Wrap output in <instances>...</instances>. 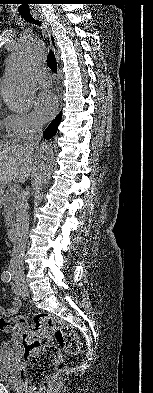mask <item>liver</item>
Masks as SVG:
<instances>
[{
    "instance_id": "1",
    "label": "liver",
    "mask_w": 153,
    "mask_h": 393,
    "mask_svg": "<svg viewBox=\"0 0 153 393\" xmlns=\"http://www.w3.org/2000/svg\"><path fill=\"white\" fill-rule=\"evenodd\" d=\"M32 154L27 153L20 144H0V189L12 180L24 183L35 170Z\"/></svg>"
}]
</instances>
